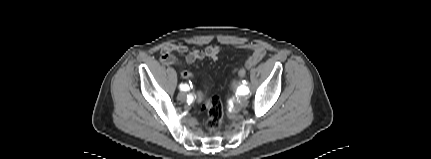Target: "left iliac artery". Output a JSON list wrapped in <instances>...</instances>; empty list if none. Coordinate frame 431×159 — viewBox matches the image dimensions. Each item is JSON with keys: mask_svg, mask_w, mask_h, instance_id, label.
<instances>
[{"mask_svg": "<svg viewBox=\"0 0 431 159\" xmlns=\"http://www.w3.org/2000/svg\"><path fill=\"white\" fill-rule=\"evenodd\" d=\"M239 94L247 95L249 93V89L246 86H241L238 88Z\"/></svg>", "mask_w": 431, "mask_h": 159, "instance_id": "1", "label": "left iliac artery"}]
</instances>
